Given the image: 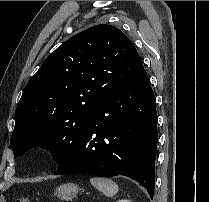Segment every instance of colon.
<instances>
[{"label": "colon", "mask_w": 209, "mask_h": 202, "mask_svg": "<svg viewBox=\"0 0 209 202\" xmlns=\"http://www.w3.org/2000/svg\"><path fill=\"white\" fill-rule=\"evenodd\" d=\"M15 202H36L30 198H19Z\"/></svg>", "instance_id": "obj_1"}]
</instances>
